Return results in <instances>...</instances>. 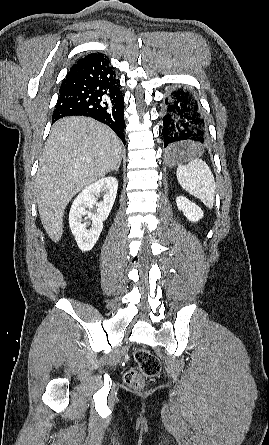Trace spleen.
Wrapping results in <instances>:
<instances>
[{"instance_id":"3e777b00","label":"spleen","mask_w":269,"mask_h":445,"mask_svg":"<svg viewBox=\"0 0 269 445\" xmlns=\"http://www.w3.org/2000/svg\"><path fill=\"white\" fill-rule=\"evenodd\" d=\"M177 180L181 187L212 208L216 183L209 166L200 159H189L177 167Z\"/></svg>"}]
</instances>
